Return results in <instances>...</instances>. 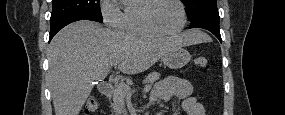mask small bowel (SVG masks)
Here are the masks:
<instances>
[{
  "mask_svg": "<svg viewBox=\"0 0 285 115\" xmlns=\"http://www.w3.org/2000/svg\"><path fill=\"white\" fill-rule=\"evenodd\" d=\"M193 85L187 79L168 77L158 82L151 95V103H166L172 99H182V107L187 115H205L202 104L192 95Z\"/></svg>",
  "mask_w": 285,
  "mask_h": 115,
  "instance_id": "c3829d8e",
  "label": "small bowel"
}]
</instances>
